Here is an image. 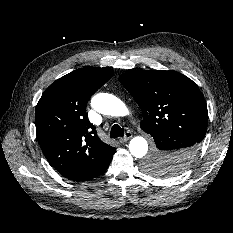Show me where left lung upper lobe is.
<instances>
[{
	"instance_id": "obj_1",
	"label": "left lung upper lobe",
	"mask_w": 233,
	"mask_h": 233,
	"mask_svg": "<svg viewBox=\"0 0 233 233\" xmlns=\"http://www.w3.org/2000/svg\"><path fill=\"white\" fill-rule=\"evenodd\" d=\"M143 113L141 128L151 136L158 132L183 133L193 138L198 152L208 123L204 97L196 83L176 71L132 70L119 77ZM153 150L143 167L156 176L178 175L184 170Z\"/></svg>"
}]
</instances>
